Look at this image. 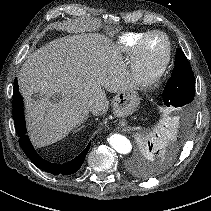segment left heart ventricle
<instances>
[{
  "label": "left heart ventricle",
  "mask_w": 211,
  "mask_h": 211,
  "mask_svg": "<svg viewBox=\"0 0 211 211\" xmlns=\"http://www.w3.org/2000/svg\"><path fill=\"white\" fill-rule=\"evenodd\" d=\"M166 44L161 36L150 37L142 50V65L145 72L156 68L165 55Z\"/></svg>",
  "instance_id": "left-heart-ventricle-1"
}]
</instances>
